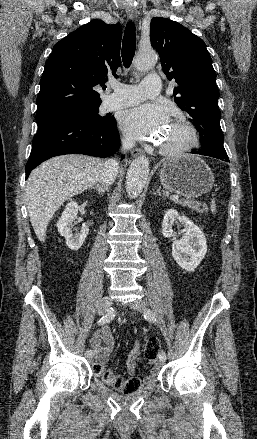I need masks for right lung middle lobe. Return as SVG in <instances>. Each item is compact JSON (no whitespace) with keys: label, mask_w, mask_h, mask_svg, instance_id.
Returning a JSON list of instances; mask_svg holds the SVG:
<instances>
[{"label":"right lung middle lobe","mask_w":257,"mask_h":439,"mask_svg":"<svg viewBox=\"0 0 257 439\" xmlns=\"http://www.w3.org/2000/svg\"><path fill=\"white\" fill-rule=\"evenodd\" d=\"M98 112H99V106L92 107V108H85V109L76 110V111H73V112L65 114V115L80 117V118L89 120L91 122L100 123V124L107 123V122L110 121V118H108V117H101L98 114Z\"/></svg>","instance_id":"dd1d6c3e"}]
</instances>
